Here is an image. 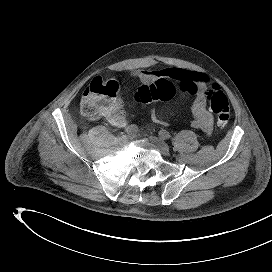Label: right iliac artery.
I'll use <instances>...</instances> for the list:
<instances>
[{"mask_svg":"<svg viewBox=\"0 0 272 272\" xmlns=\"http://www.w3.org/2000/svg\"><path fill=\"white\" fill-rule=\"evenodd\" d=\"M137 131H138V127L136 126V125H130V126H128L127 128H126V133L128 134V135H134V134H136L137 133Z\"/></svg>","mask_w":272,"mask_h":272,"instance_id":"right-iliac-artery-1","label":"right iliac artery"}]
</instances>
